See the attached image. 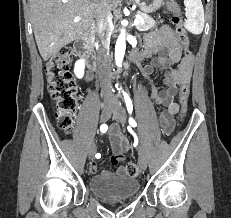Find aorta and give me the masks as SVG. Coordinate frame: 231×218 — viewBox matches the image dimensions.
I'll return each mask as SVG.
<instances>
[{
	"mask_svg": "<svg viewBox=\"0 0 231 218\" xmlns=\"http://www.w3.org/2000/svg\"><path fill=\"white\" fill-rule=\"evenodd\" d=\"M126 49L125 31L122 30L115 45V62L118 67H121Z\"/></svg>",
	"mask_w": 231,
	"mask_h": 218,
	"instance_id": "1",
	"label": "aorta"
}]
</instances>
